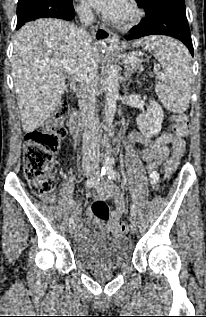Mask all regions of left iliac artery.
Returning <instances> with one entry per match:
<instances>
[{"label": "left iliac artery", "mask_w": 206, "mask_h": 317, "mask_svg": "<svg viewBox=\"0 0 206 317\" xmlns=\"http://www.w3.org/2000/svg\"><path fill=\"white\" fill-rule=\"evenodd\" d=\"M106 171H107V176L109 179L116 180L117 174L112 166H108ZM131 214L134 217L137 215V209L135 205L131 206Z\"/></svg>", "instance_id": "obj_1"}]
</instances>
